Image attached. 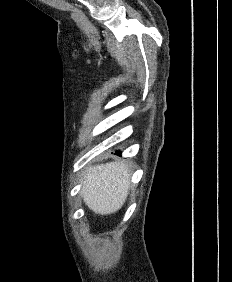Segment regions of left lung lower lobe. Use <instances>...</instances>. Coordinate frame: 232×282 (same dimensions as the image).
<instances>
[{
    "mask_svg": "<svg viewBox=\"0 0 232 282\" xmlns=\"http://www.w3.org/2000/svg\"><path fill=\"white\" fill-rule=\"evenodd\" d=\"M116 154H117V155H120V154H121V152H119V151H116Z\"/></svg>",
    "mask_w": 232,
    "mask_h": 282,
    "instance_id": "obj_1",
    "label": "left lung lower lobe"
}]
</instances>
